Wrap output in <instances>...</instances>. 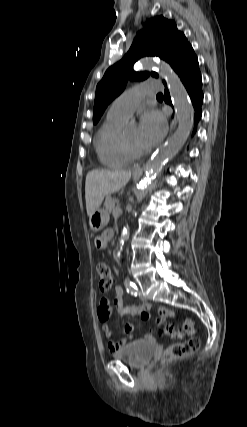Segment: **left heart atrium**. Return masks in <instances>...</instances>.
I'll use <instances>...</instances> for the list:
<instances>
[{
  "label": "left heart atrium",
  "instance_id": "left-heart-atrium-1",
  "mask_svg": "<svg viewBox=\"0 0 247 427\" xmlns=\"http://www.w3.org/2000/svg\"><path fill=\"white\" fill-rule=\"evenodd\" d=\"M167 130L165 118L155 110L146 112L139 124L138 137L144 149L150 148L161 141Z\"/></svg>",
  "mask_w": 247,
  "mask_h": 427
}]
</instances>
